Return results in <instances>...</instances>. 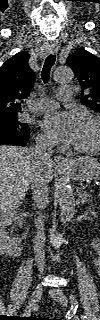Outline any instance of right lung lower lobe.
<instances>
[{"label": "right lung lower lobe", "mask_w": 100, "mask_h": 320, "mask_svg": "<svg viewBox=\"0 0 100 320\" xmlns=\"http://www.w3.org/2000/svg\"><path fill=\"white\" fill-rule=\"evenodd\" d=\"M28 141V136L27 137H6L0 139V145L3 144H11V145H19V146H25Z\"/></svg>", "instance_id": "right-lung-lower-lobe-1"}]
</instances>
